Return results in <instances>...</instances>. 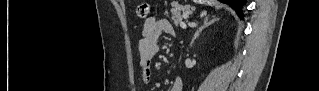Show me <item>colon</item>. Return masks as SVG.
<instances>
[{
  "instance_id": "colon-1",
  "label": "colon",
  "mask_w": 319,
  "mask_h": 91,
  "mask_svg": "<svg viewBox=\"0 0 319 91\" xmlns=\"http://www.w3.org/2000/svg\"><path fill=\"white\" fill-rule=\"evenodd\" d=\"M150 13V5L147 2L140 3L136 8V14L139 18H146Z\"/></svg>"
}]
</instances>
